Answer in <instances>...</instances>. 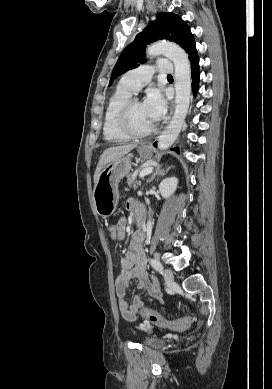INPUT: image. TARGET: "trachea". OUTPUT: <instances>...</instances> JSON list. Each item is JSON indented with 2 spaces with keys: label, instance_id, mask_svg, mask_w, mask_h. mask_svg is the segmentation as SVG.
<instances>
[{
  "label": "trachea",
  "instance_id": "3493384b",
  "mask_svg": "<svg viewBox=\"0 0 272 389\" xmlns=\"http://www.w3.org/2000/svg\"><path fill=\"white\" fill-rule=\"evenodd\" d=\"M167 77L172 78V75H168Z\"/></svg>",
  "mask_w": 272,
  "mask_h": 389
}]
</instances>
